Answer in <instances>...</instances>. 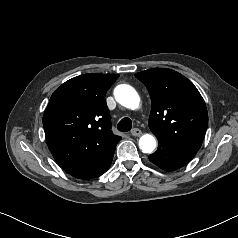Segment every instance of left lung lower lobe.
<instances>
[{"mask_svg":"<svg viewBox=\"0 0 238 238\" xmlns=\"http://www.w3.org/2000/svg\"><path fill=\"white\" fill-rule=\"evenodd\" d=\"M195 155L194 152L159 144L158 150L149 156V160L165 171H173L185 166Z\"/></svg>","mask_w":238,"mask_h":238,"instance_id":"left-lung-lower-lobe-1","label":"left lung lower lobe"}]
</instances>
